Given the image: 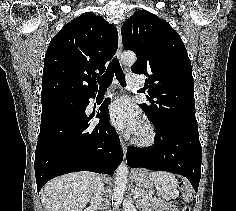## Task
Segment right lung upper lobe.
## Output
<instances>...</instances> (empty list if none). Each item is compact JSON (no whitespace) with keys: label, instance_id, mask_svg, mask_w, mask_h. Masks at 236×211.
<instances>
[{"label":"right lung upper lobe","instance_id":"obj_1","mask_svg":"<svg viewBox=\"0 0 236 211\" xmlns=\"http://www.w3.org/2000/svg\"><path fill=\"white\" fill-rule=\"evenodd\" d=\"M117 29L92 12L66 24L46 51L41 102L95 95L96 78L116 53Z\"/></svg>","mask_w":236,"mask_h":211}]
</instances>
